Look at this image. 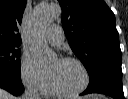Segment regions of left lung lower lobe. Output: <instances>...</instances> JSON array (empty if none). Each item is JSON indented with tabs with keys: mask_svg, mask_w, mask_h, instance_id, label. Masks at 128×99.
<instances>
[{
	"mask_svg": "<svg viewBox=\"0 0 128 99\" xmlns=\"http://www.w3.org/2000/svg\"><path fill=\"white\" fill-rule=\"evenodd\" d=\"M89 77V85L81 95L101 93L114 99H124L121 63H98L89 73Z\"/></svg>",
	"mask_w": 128,
	"mask_h": 99,
	"instance_id": "1",
	"label": "left lung lower lobe"
}]
</instances>
